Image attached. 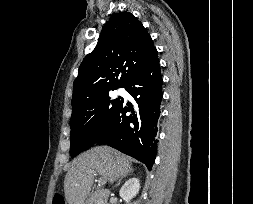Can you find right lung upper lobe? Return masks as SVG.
<instances>
[{"mask_svg":"<svg viewBox=\"0 0 253 204\" xmlns=\"http://www.w3.org/2000/svg\"><path fill=\"white\" fill-rule=\"evenodd\" d=\"M154 50L150 35L132 13L112 15L95 49L79 67L73 84L72 109L124 87Z\"/></svg>","mask_w":253,"mask_h":204,"instance_id":"right-lung-upper-lobe-1","label":"right lung upper lobe"}]
</instances>
